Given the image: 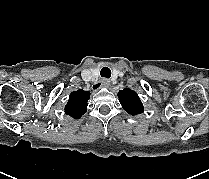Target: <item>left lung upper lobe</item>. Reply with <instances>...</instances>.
Instances as JSON below:
<instances>
[{
	"label": "left lung upper lobe",
	"instance_id": "5c2ea615",
	"mask_svg": "<svg viewBox=\"0 0 209 179\" xmlns=\"http://www.w3.org/2000/svg\"><path fill=\"white\" fill-rule=\"evenodd\" d=\"M118 97L119 102L127 113L137 115L143 112V105L135 91L131 89H124L119 91Z\"/></svg>",
	"mask_w": 209,
	"mask_h": 179
}]
</instances>
